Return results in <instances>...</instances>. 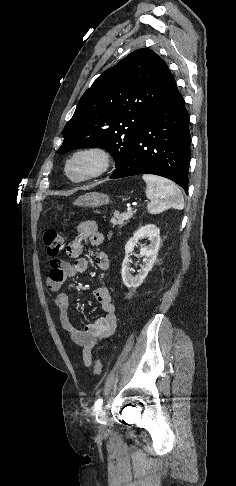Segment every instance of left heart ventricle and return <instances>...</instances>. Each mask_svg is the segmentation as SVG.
Segmentation results:
<instances>
[{
    "instance_id": "1",
    "label": "left heart ventricle",
    "mask_w": 236,
    "mask_h": 486,
    "mask_svg": "<svg viewBox=\"0 0 236 486\" xmlns=\"http://www.w3.org/2000/svg\"><path fill=\"white\" fill-rule=\"evenodd\" d=\"M95 165L96 162L92 157H79L70 165L69 172L71 176L78 178L91 172Z\"/></svg>"
}]
</instances>
